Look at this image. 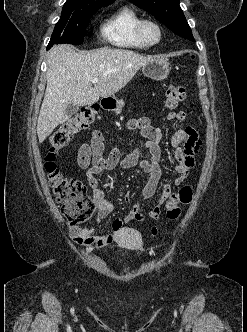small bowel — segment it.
I'll return each instance as SVG.
<instances>
[{"label":"small bowel","mask_w":247,"mask_h":332,"mask_svg":"<svg viewBox=\"0 0 247 332\" xmlns=\"http://www.w3.org/2000/svg\"><path fill=\"white\" fill-rule=\"evenodd\" d=\"M166 120L183 121L186 118L184 111L169 112L164 117ZM128 129H137L142 137L147 141L145 147L150 154L149 159H143L139 148L127 155H122L118 148H112L107 156H104V138L100 131H94L90 144H83L78 152V164L85 169V177L88 187L92 193L93 200L97 207V218L103 219L110 215L114 209L113 205L105 200L104 192L98 187L96 176L109 171L117 166L131 168L140 166L147 174L148 179L142 189L144 199L153 197L159 185L162 170L160 166L162 131L151 123L149 117L131 119L127 124ZM172 145L175 148V172L178 176L174 180L176 186H181L194 165V157L201 148V140L198 132L192 126H185L178 129L172 137ZM171 194L169 185H164L158 203L149 211L148 216L153 220L161 217L162 205L166 203ZM125 199H129V194H125ZM144 215L140 211L138 203H133L124 222L141 221ZM70 237L80 245L91 247H103L113 243L118 231L106 234H95L94 227L81 228L71 226L69 228Z\"/></svg>","instance_id":"c3829d8e"}]
</instances>
